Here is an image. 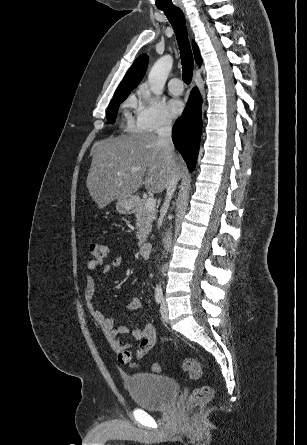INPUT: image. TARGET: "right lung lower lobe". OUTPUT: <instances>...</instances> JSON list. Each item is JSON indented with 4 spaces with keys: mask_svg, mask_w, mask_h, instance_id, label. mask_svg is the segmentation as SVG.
Instances as JSON below:
<instances>
[{
    "mask_svg": "<svg viewBox=\"0 0 307 445\" xmlns=\"http://www.w3.org/2000/svg\"><path fill=\"white\" fill-rule=\"evenodd\" d=\"M201 103V95L198 89L194 88L182 116L177 119L172 130L174 145L190 171L195 168L199 150L202 128Z\"/></svg>",
    "mask_w": 307,
    "mask_h": 445,
    "instance_id": "right-lung-lower-lobe-1",
    "label": "right lung lower lobe"
}]
</instances>
